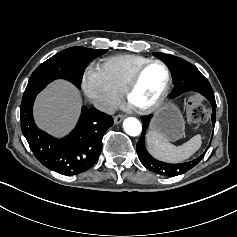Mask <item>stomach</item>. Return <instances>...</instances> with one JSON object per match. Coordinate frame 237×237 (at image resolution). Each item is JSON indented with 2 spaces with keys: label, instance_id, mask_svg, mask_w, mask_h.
<instances>
[{
  "label": "stomach",
  "instance_id": "obj_1",
  "mask_svg": "<svg viewBox=\"0 0 237 237\" xmlns=\"http://www.w3.org/2000/svg\"><path fill=\"white\" fill-rule=\"evenodd\" d=\"M150 130L159 131L168 141L182 138L185 134V121L178 107L172 102H167L156 109Z\"/></svg>",
  "mask_w": 237,
  "mask_h": 237
}]
</instances>
